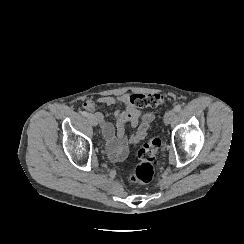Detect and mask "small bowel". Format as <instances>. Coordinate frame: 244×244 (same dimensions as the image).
<instances>
[{
  "mask_svg": "<svg viewBox=\"0 0 244 244\" xmlns=\"http://www.w3.org/2000/svg\"><path fill=\"white\" fill-rule=\"evenodd\" d=\"M130 94H120L114 96H103L93 100H85L83 108L99 124L107 142V148L112 152L116 159L122 158L127 154L128 147L133 144L131 138L139 133L146 136L148 128L154 121L155 116L152 113L143 112L131 103ZM121 105L123 110L115 112V124L108 120L107 114L100 110V106L113 107ZM130 124L135 132L131 136L126 135V125Z\"/></svg>",
  "mask_w": 244,
  "mask_h": 244,
  "instance_id": "1",
  "label": "small bowel"
}]
</instances>
